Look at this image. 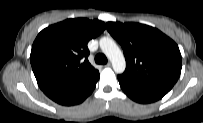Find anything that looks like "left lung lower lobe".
<instances>
[{
	"label": "left lung lower lobe",
	"mask_w": 203,
	"mask_h": 123,
	"mask_svg": "<svg viewBox=\"0 0 203 123\" xmlns=\"http://www.w3.org/2000/svg\"><path fill=\"white\" fill-rule=\"evenodd\" d=\"M118 80L124 93L138 103L155 102L169 92L166 89L144 84L122 75H118Z\"/></svg>",
	"instance_id": "1"
}]
</instances>
